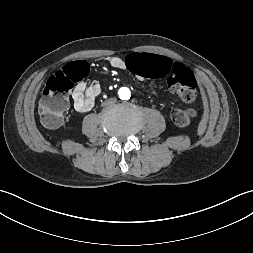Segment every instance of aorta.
I'll return each mask as SVG.
<instances>
[{"label": "aorta", "mask_w": 253, "mask_h": 253, "mask_svg": "<svg viewBox=\"0 0 253 253\" xmlns=\"http://www.w3.org/2000/svg\"><path fill=\"white\" fill-rule=\"evenodd\" d=\"M119 96L123 100H127L130 98V90L126 87H123L119 90Z\"/></svg>", "instance_id": "aorta-1"}]
</instances>
